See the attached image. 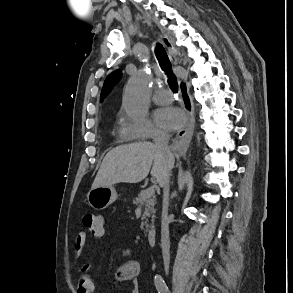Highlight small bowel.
I'll return each mask as SVG.
<instances>
[{"label": "small bowel", "instance_id": "c3829d8e", "mask_svg": "<svg viewBox=\"0 0 293 293\" xmlns=\"http://www.w3.org/2000/svg\"><path fill=\"white\" fill-rule=\"evenodd\" d=\"M103 219V227L100 232L92 234L95 238H101L105 234ZM87 234L84 231H79L75 237V251L77 257H80L86 246ZM88 270V265L84 264L83 274H81L77 279V290L78 293H95V286L92 282L91 277L85 272ZM140 273V265L137 261H127L123 263L117 270L116 280L119 282H131V293H141L138 284V276Z\"/></svg>", "mask_w": 293, "mask_h": 293}]
</instances>
